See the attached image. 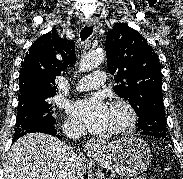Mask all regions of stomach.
<instances>
[{"instance_id":"obj_1","label":"stomach","mask_w":183,"mask_h":179,"mask_svg":"<svg viewBox=\"0 0 183 179\" xmlns=\"http://www.w3.org/2000/svg\"><path fill=\"white\" fill-rule=\"evenodd\" d=\"M98 163L113 173L132 177L145 171L152 160L148 144L137 137L121 138L94 152Z\"/></svg>"}]
</instances>
